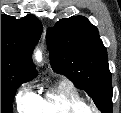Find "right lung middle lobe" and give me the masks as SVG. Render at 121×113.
<instances>
[{
	"label": "right lung middle lobe",
	"mask_w": 121,
	"mask_h": 113,
	"mask_svg": "<svg viewBox=\"0 0 121 113\" xmlns=\"http://www.w3.org/2000/svg\"><path fill=\"white\" fill-rule=\"evenodd\" d=\"M31 79L23 70L1 62V113H12V100L19 84Z\"/></svg>",
	"instance_id": "dd1d6c3e"
}]
</instances>
